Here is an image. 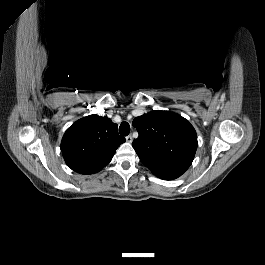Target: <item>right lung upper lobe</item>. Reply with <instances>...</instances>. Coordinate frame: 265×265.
<instances>
[{
    "label": "right lung upper lobe",
    "mask_w": 265,
    "mask_h": 265,
    "mask_svg": "<svg viewBox=\"0 0 265 265\" xmlns=\"http://www.w3.org/2000/svg\"><path fill=\"white\" fill-rule=\"evenodd\" d=\"M117 124L107 116L89 115L65 132L60 149L66 164L80 174H93L106 166L124 143Z\"/></svg>",
    "instance_id": "cb5924a9"
}]
</instances>
